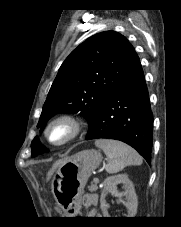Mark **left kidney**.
Masks as SVG:
<instances>
[{"instance_id":"obj_1","label":"left kidney","mask_w":181,"mask_h":227,"mask_svg":"<svg viewBox=\"0 0 181 227\" xmlns=\"http://www.w3.org/2000/svg\"><path fill=\"white\" fill-rule=\"evenodd\" d=\"M123 184V187L125 189L124 192H119L117 190L118 184ZM107 193H112L115 196L119 197L120 199L125 196V201L121 200V202L125 205L127 208L126 217H134L137 212V206H138V199L137 195L135 193L134 185L132 181L128 178L127 174H118L115 176H110L105 179L104 181V189L101 194L100 198V207L102 210V213L104 214V217H109L108 208L109 205L106 203L105 196Z\"/></svg>"}]
</instances>
